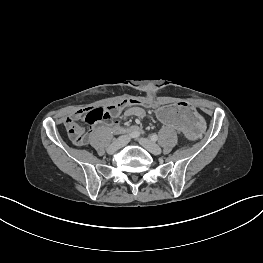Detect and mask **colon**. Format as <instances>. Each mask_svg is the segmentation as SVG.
<instances>
[{"label":"colon","instance_id":"1","mask_svg":"<svg viewBox=\"0 0 263 263\" xmlns=\"http://www.w3.org/2000/svg\"><path fill=\"white\" fill-rule=\"evenodd\" d=\"M128 104H145L150 105L151 102H145L135 99H129L122 101L117 104L110 105L106 108H92L88 109L85 112V122L91 127L98 123H100L103 120H108L112 118V116L116 113V111L125 105ZM65 128L68 133L69 138L74 142L75 144L82 145L86 143L87 141V133L83 126H81L79 123L76 122V120L72 117H69L65 121Z\"/></svg>","mask_w":263,"mask_h":263}]
</instances>
